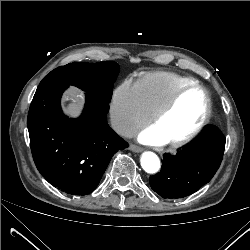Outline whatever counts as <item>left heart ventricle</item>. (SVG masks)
<instances>
[{
    "label": "left heart ventricle",
    "instance_id": "left-heart-ventricle-1",
    "mask_svg": "<svg viewBox=\"0 0 250 250\" xmlns=\"http://www.w3.org/2000/svg\"><path fill=\"white\" fill-rule=\"evenodd\" d=\"M204 111L203 92L199 89L188 90L152 129L166 142L172 141L189 133L199 123Z\"/></svg>",
    "mask_w": 250,
    "mask_h": 250
}]
</instances>
